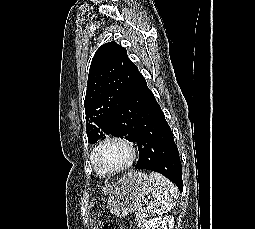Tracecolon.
<instances>
[{
    "label": "colon",
    "instance_id": "colon-1",
    "mask_svg": "<svg viewBox=\"0 0 255 229\" xmlns=\"http://www.w3.org/2000/svg\"><path fill=\"white\" fill-rule=\"evenodd\" d=\"M102 229H120V226L116 221L108 220L103 224Z\"/></svg>",
    "mask_w": 255,
    "mask_h": 229
}]
</instances>
